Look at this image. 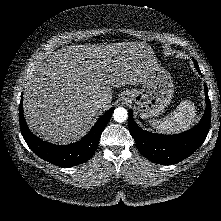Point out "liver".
<instances>
[{
	"label": "liver",
	"mask_w": 221,
	"mask_h": 221,
	"mask_svg": "<svg viewBox=\"0 0 221 221\" xmlns=\"http://www.w3.org/2000/svg\"><path fill=\"white\" fill-rule=\"evenodd\" d=\"M157 64L145 43L72 45L56 51L28 78L23 112L31 130L53 143L68 144L90 129L97 108L112 101V87L139 85Z\"/></svg>",
	"instance_id": "liver-1"
}]
</instances>
